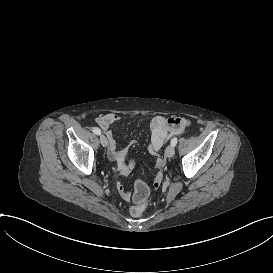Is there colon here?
Here are the masks:
<instances>
[{
    "mask_svg": "<svg viewBox=\"0 0 273 273\" xmlns=\"http://www.w3.org/2000/svg\"><path fill=\"white\" fill-rule=\"evenodd\" d=\"M136 186H137V191L135 195L133 196V200H134V204L138 207H134L132 209V214L136 217H139L141 216V214L146 213L149 208V204L146 201V197L148 195V189L144 179L142 178L137 179Z\"/></svg>",
    "mask_w": 273,
    "mask_h": 273,
    "instance_id": "obj_1",
    "label": "colon"
}]
</instances>
